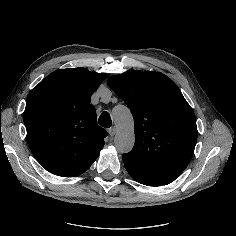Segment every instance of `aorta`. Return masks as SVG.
I'll return each mask as SVG.
<instances>
[{
	"label": "aorta",
	"mask_w": 236,
	"mask_h": 236,
	"mask_svg": "<svg viewBox=\"0 0 236 236\" xmlns=\"http://www.w3.org/2000/svg\"><path fill=\"white\" fill-rule=\"evenodd\" d=\"M113 119L118 130L115 147L118 152L127 153L135 143L133 116L128 107L120 105L113 110Z\"/></svg>",
	"instance_id": "762f6f07"
}]
</instances>
